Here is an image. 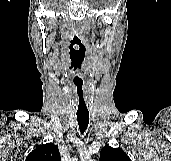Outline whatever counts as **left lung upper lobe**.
Here are the masks:
<instances>
[{
	"mask_svg": "<svg viewBox=\"0 0 171 161\" xmlns=\"http://www.w3.org/2000/svg\"><path fill=\"white\" fill-rule=\"evenodd\" d=\"M100 161H131L121 148L105 146L100 152Z\"/></svg>",
	"mask_w": 171,
	"mask_h": 161,
	"instance_id": "left-lung-upper-lobe-1",
	"label": "left lung upper lobe"
}]
</instances>
